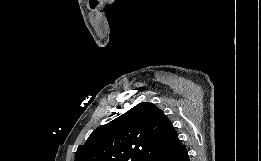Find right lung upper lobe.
Wrapping results in <instances>:
<instances>
[{
    "instance_id": "1",
    "label": "right lung upper lobe",
    "mask_w": 261,
    "mask_h": 161,
    "mask_svg": "<svg viewBox=\"0 0 261 161\" xmlns=\"http://www.w3.org/2000/svg\"><path fill=\"white\" fill-rule=\"evenodd\" d=\"M181 145L163 111L152 103H139L109 123L96 128L75 161H150Z\"/></svg>"
}]
</instances>
